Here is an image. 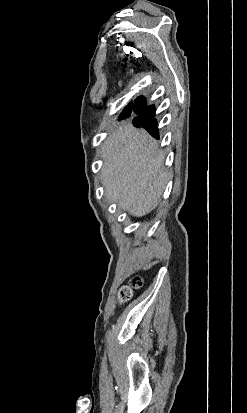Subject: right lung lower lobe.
<instances>
[{
    "label": "right lung lower lobe",
    "mask_w": 247,
    "mask_h": 413,
    "mask_svg": "<svg viewBox=\"0 0 247 413\" xmlns=\"http://www.w3.org/2000/svg\"><path fill=\"white\" fill-rule=\"evenodd\" d=\"M132 110L138 115L133 119V124L136 127H143L146 129L153 137L159 138L157 121L154 117L155 108L154 106H146L145 99L139 97L135 100V103H130L120 115V119H125L130 116Z\"/></svg>",
    "instance_id": "1"
}]
</instances>
